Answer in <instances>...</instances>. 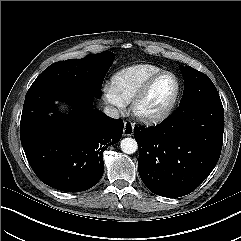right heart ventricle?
I'll return each instance as SVG.
<instances>
[{
  "label": "right heart ventricle",
  "mask_w": 241,
  "mask_h": 241,
  "mask_svg": "<svg viewBox=\"0 0 241 241\" xmlns=\"http://www.w3.org/2000/svg\"><path fill=\"white\" fill-rule=\"evenodd\" d=\"M163 69L153 64H135L118 70L111 77V85L121 99L130 103L143 84Z\"/></svg>",
  "instance_id": "e07e8e85"
}]
</instances>
